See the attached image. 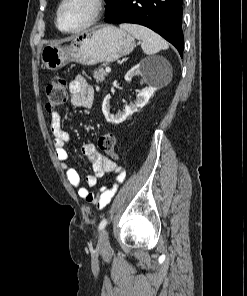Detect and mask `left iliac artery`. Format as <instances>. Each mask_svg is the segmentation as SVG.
<instances>
[{
    "instance_id": "left-iliac-artery-1",
    "label": "left iliac artery",
    "mask_w": 247,
    "mask_h": 296,
    "mask_svg": "<svg viewBox=\"0 0 247 296\" xmlns=\"http://www.w3.org/2000/svg\"><path fill=\"white\" fill-rule=\"evenodd\" d=\"M107 224V219H103L99 224V231L103 230Z\"/></svg>"
}]
</instances>
